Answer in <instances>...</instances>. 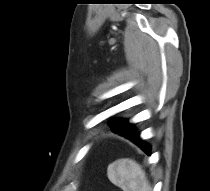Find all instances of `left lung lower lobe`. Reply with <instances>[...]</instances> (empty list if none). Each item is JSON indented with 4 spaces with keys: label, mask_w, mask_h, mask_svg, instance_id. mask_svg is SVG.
I'll use <instances>...</instances> for the list:
<instances>
[{
    "label": "left lung lower lobe",
    "mask_w": 210,
    "mask_h": 191,
    "mask_svg": "<svg viewBox=\"0 0 210 191\" xmlns=\"http://www.w3.org/2000/svg\"><path fill=\"white\" fill-rule=\"evenodd\" d=\"M125 138H128L129 140H131L132 142H134L137 146H139L148 156L151 155V148L148 144H146L144 141H142L139 138V134L135 131L123 135Z\"/></svg>",
    "instance_id": "1"
}]
</instances>
